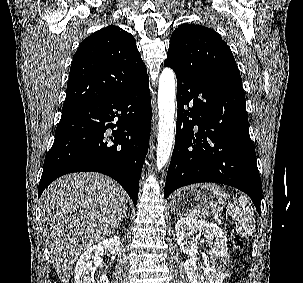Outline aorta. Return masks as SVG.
<instances>
[{
    "instance_id": "obj_1",
    "label": "aorta",
    "mask_w": 303,
    "mask_h": 283,
    "mask_svg": "<svg viewBox=\"0 0 303 283\" xmlns=\"http://www.w3.org/2000/svg\"><path fill=\"white\" fill-rule=\"evenodd\" d=\"M175 77L170 68H164L159 77L158 107L159 132L157 139L156 167L162 169L167 164L174 141Z\"/></svg>"
}]
</instances>
